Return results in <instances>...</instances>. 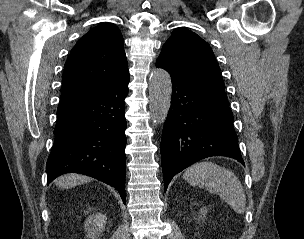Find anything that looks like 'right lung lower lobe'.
<instances>
[{"mask_svg": "<svg viewBox=\"0 0 304 239\" xmlns=\"http://www.w3.org/2000/svg\"><path fill=\"white\" fill-rule=\"evenodd\" d=\"M129 75L107 89L57 110L55 142L47 160L48 183L81 173L115 187L125 203L124 99Z\"/></svg>", "mask_w": 304, "mask_h": 239, "instance_id": "obj_1", "label": "right lung lower lobe"}]
</instances>
